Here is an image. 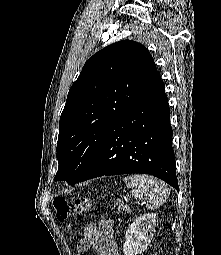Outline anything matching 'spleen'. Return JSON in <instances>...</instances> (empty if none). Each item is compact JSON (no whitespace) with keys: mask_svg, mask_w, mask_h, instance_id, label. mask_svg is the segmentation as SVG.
<instances>
[{"mask_svg":"<svg viewBox=\"0 0 221 255\" xmlns=\"http://www.w3.org/2000/svg\"><path fill=\"white\" fill-rule=\"evenodd\" d=\"M124 183L135 198L144 200L150 210L164 204L170 194L167 185L152 176L138 174L127 176Z\"/></svg>","mask_w":221,"mask_h":255,"instance_id":"3e777b00","label":"spleen"}]
</instances>
